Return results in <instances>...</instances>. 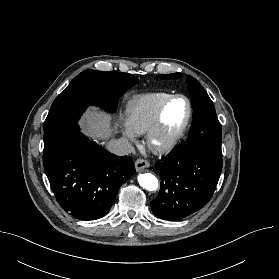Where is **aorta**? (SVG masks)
Wrapping results in <instances>:
<instances>
[{"label":"aorta","instance_id":"obj_1","mask_svg":"<svg viewBox=\"0 0 279 279\" xmlns=\"http://www.w3.org/2000/svg\"><path fill=\"white\" fill-rule=\"evenodd\" d=\"M138 182L141 187L148 191H155L158 187L157 178L151 173H143L138 176Z\"/></svg>","mask_w":279,"mask_h":279}]
</instances>
